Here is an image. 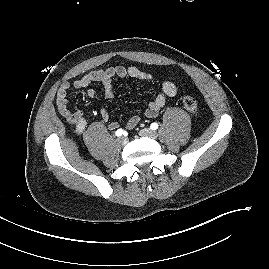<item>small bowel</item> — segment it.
Instances as JSON below:
<instances>
[{
	"mask_svg": "<svg viewBox=\"0 0 269 269\" xmlns=\"http://www.w3.org/2000/svg\"><path fill=\"white\" fill-rule=\"evenodd\" d=\"M116 78L125 79L132 78L145 82H159L161 92L148 104L144 110V115L149 118L155 117L158 112L165 106L166 97H174L179 91V86L169 79H158L154 74L143 71L135 66H115L107 69L90 71L72 84L69 82H63L58 89L56 96V105L61 116L71 125L73 131L77 135H81L87 125L86 118L82 111L71 110L68 105V91L70 88L76 90L85 88L93 83H100L104 89V96L107 99L114 97V85L113 82ZM87 96L94 98L96 92L94 89H88ZM100 118L104 122H108L109 130H116L119 127V123L116 121H109V112L106 109H101L99 112ZM141 117L134 115L130 117L126 123L128 129H133L140 122Z\"/></svg>",
	"mask_w": 269,
	"mask_h": 269,
	"instance_id": "c3829d8e",
	"label": "small bowel"
}]
</instances>
